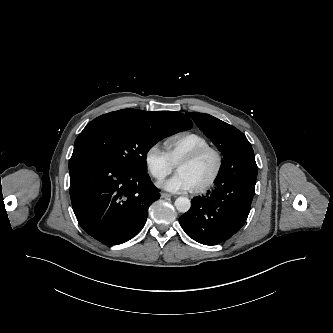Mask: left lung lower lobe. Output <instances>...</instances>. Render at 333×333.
<instances>
[{
  "label": "left lung lower lobe",
  "instance_id": "1",
  "mask_svg": "<svg viewBox=\"0 0 333 333\" xmlns=\"http://www.w3.org/2000/svg\"><path fill=\"white\" fill-rule=\"evenodd\" d=\"M257 172L250 144L227 155L215 188L194 197L189 211L180 216L183 230L204 245H216L233 236L250 212Z\"/></svg>",
  "mask_w": 333,
  "mask_h": 333
}]
</instances>
